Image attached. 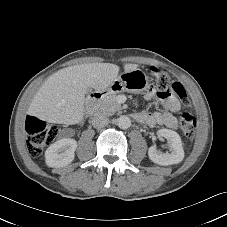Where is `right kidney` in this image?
I'll list each match as a JSON object with an SVG mask.
<instances>
[{
    "label": "right kidney",
    "mask_w": 227,
    "mask_h": 227,
    "mask_svg": "<svg viewBox=\"0 0 227 227\" xmlns=\"http://www.w3.org/2000/svg\"><path fill=\"white\" fill-rule=\"evenodd\" d=\"M77 142L63 138L53 143L45 152L46 164L49 167H63L70 164L75 156Z\"/></svg>",
    "instance_id": "obj_1"
}]
</instances>
